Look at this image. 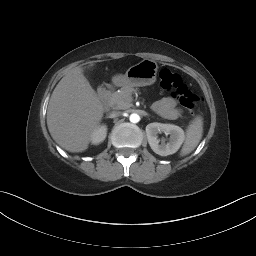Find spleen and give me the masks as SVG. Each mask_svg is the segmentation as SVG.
<instances>
[{
    "instance_id": "3e777b00",
    "label": "spleen",
    "mask_w": 256,
    "mask_h": 256,
    "mask_svg": "<svg viewBox=\"0 0 256 256\" xmlns=\"http://www.w3.org/2000/svg\"><path fill=\"white\" fill-rule=\"evenodd\" d=\"M203 133V119L201 116H197L186 131V140L182 147L181 156H186L191 153L199 144Z\"/></svg>"
}]
</instances>
